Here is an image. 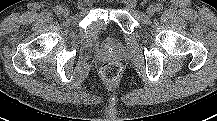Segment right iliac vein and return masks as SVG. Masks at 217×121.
<instances>
[{
	"label": "right iliac vein",
	"mask_w": 217,
	"mask_h": 121,
	"mask_svg": "<svg viewBox=\"0 0 217 121\" xmlns=\"http://www.w3.org/2000/svg\"><path fill=\"white\" fill-rule=\"evenodd\" d=\"M69 10L67 8H63L62 11H61V14L65 17H67L69 15Z\"/></svg>",
	"instance_id": "1"
}]
</instances>
